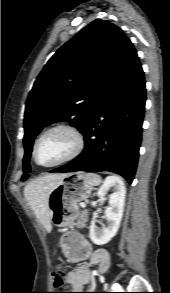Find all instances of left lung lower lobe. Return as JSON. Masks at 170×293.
<instances>
[{"label": "left lung lower lobe", "instance_id": "0a47b994", "mask_svg": "<svg viewBox=\"0 0 170 293\" xmlns=\"http://www.w3.org/2000/svg\"><path fill=\"white\" fill-rule=\"evenodd\" d=\"M145 101L144 73L133 49L82 131L84 151L50 172L110 171L131 183L142 140Z\"/></svg>", "mask_w": 170, "mask_h": 293}]
</instances>
